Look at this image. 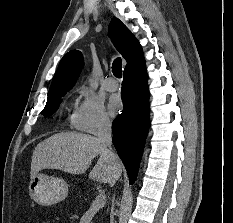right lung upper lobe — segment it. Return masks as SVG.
<instances>
[{"label": "right lung upper lobe", "instance_id": "right-lung-upper-lobe-1", "mask_svg": "<svg viewBox=\"0 0 233 223\" xmlns=\"http://www.w3.org/2000/svg\"><path fill=\"white\" fill-rule=\"evenodd\" d=\"M109 35L117 50L127 61L124 73L145 66L141 45L119 19L114 18L110 22ZM82 66L83 56L80 51L73 50L64 55L53 77L45 105L60 101L75 84Z\"/></svg>", "mask_w": 233, "mask_h": 223}]
</instances>
